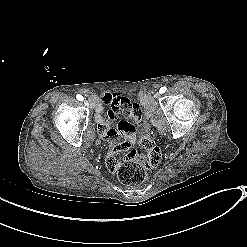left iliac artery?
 I'll list each match as a JSON object with an SVG mask.
<instances>
[{
	"instance_id": "44dca946",
	"label": "left iliac artery",
	"mask_w": 247,
	"mask_h": 247,
	"mask_svg": "<svg viewBox=\"0 0 247 247\" xmlns=\"http://www.w3.org/2000/svg\"><path fill=\"white\" fill-rule=\"evenodd\" d=\"M166 90H167L166 87H161L160 90H159V92L162 94V93H165Z\"/></svg>"
}]
</instances>
